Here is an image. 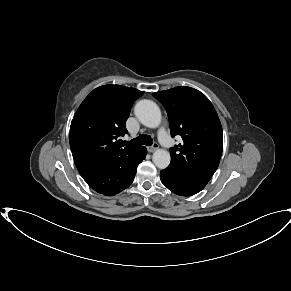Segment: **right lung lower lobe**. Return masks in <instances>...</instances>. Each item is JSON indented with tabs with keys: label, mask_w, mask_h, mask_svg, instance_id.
I'll return each mask as SVG.
<instances>
[{
	"label": "right lung lower lobe",
	"mask_w": 291,
	"mask_h": 291,
	"mask_svg": "<svg viewBox=\"0 0 291 291\" xmlns=\"http://www.w3.org/2000/svg\"><path fill=\"white\" fill-rule=\"evenodd\" d=\"M146 154V148L140 147L118 165L110 167L78 166L77 169L92 189L103 195L111 196L131 185L137 166L144 160Z\"/></svg>",
	"instance_id": "98d812e1"
}]
</instances>
